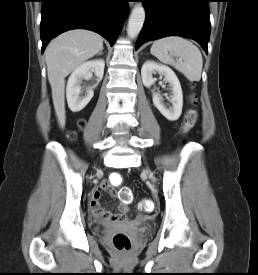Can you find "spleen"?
I'll use <instances>...</instances> for the list:
<instances>
[{"mask_svg":"<svg viewBox=\"0 0 258 275\" xmlns=\"http://www.w3.org/2000/svg\"><path fill=\"white\" fill-rule=\"evenodd\" d=\"M150 52L165 64L172 65L189 81L197 82L201 79L203 58L200 50L190 41L177 36L156 40ZM173 56L180 57L175 61Z\"/></svg>","mask_w":258,"mask_h":275,"instance_id":"spleen-1","label":"spleen"}]
</instances>
